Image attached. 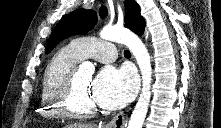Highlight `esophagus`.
Masks as SVG:
<instances>
[{"label": "esophagus", "mask_w": 221, "mask_h": 128, "mask_svg": "<svg viewBox=\"0 0 221 128\" xmlns=\"http://www.w3.org/2000/svg\"><path fill=\"white\" fill-rule=\"evenodd\" d=\"M128 123V117L120 112L108 124H99L100 128H124Z\"/></svg>", "instance_id": "esophagus-1"}]
</instances>
